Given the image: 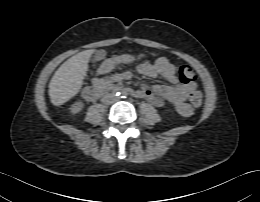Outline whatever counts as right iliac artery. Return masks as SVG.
I'll list each match as a JSON object with an SVG mask.
<instances>
[{
  "instance_id": "82829eb1",
  "label": "right iliac artery",
  "mask_w": 260,
  "mask_h": 202,
  "mask_svg": "<svg viewBox=\"0 0 260 202\" xmlns=\"http://www.w3.org/2000/svg\"><path fill=\"white\" fill-rule=\"evenodd\" d=\"M114 94H115V96H119L121 94V92H120V90H115Z\"/></svg>"
}]
</instances>
